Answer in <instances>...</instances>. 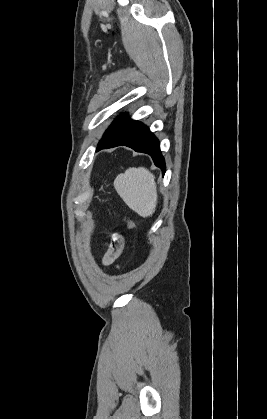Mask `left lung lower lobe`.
<instances>
[{
  "mask_svg": "<svg viewBox=\"0 0 267 419\" xmlns=\"http://www.w3.org/2000/svg\"><path fill=\"white\" fill-rule=\"evenodd\" d=\"M121 145L128 146L136 152L149 154L164 175L165 161L158 139L147 126L130 119L127 114H122L114 121L100 140L96 151Z\"/></svg>",
  "mask_w": 267,
  "mask_h": 419,
  "instance_id": "obj_1",
  "label": "left lung lower lobe"
}]
</instances>
